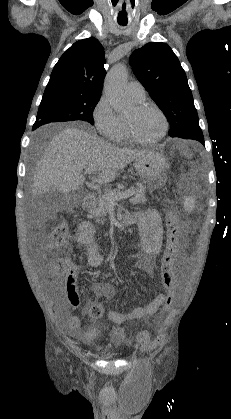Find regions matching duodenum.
I'll use <instances>...</instances> for the list:
<instances>
[{
	"mask_svg": "<svg viewBox=\"0 0 231 419\" xmlns=\"http://www.w3.org/2000/svg\"><path fill=\"white\" fill-rule=\"evenodd\" d=\"M94 202H95V196L92 193H86L85 198H84V205L87 208H90L94 205ZM120 222L125 226H130L134 223V219L132 216L124 215L121 218Z\"/></svg>",
	"mask_w": 231,
	"mask_h": 419,
	"instance_id": "1",
	"label": "duodenum"
}]
</instances>
